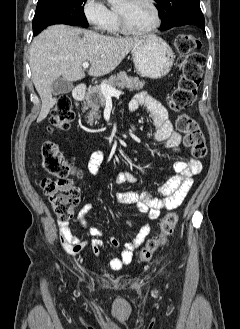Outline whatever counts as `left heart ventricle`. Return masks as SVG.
<instances>
[{
	"label": "left heart ventricle",
	"instance_id": "left-heart-ventricle-1",
	"mask_svg": "<svg viewBox=\"0 0 240 329\" xmlns=\"http://www.w3.org/2000/svg\"><path fill=\"white\" fill-rule=\"evenodd\" d=\"M117 8L122 11L132 29H145L154 22V12L147 0H121Z\"/></svg>",
	"mask_w": 240,
	"mask_h": 329
}]
</instances>
